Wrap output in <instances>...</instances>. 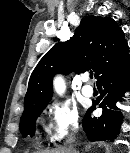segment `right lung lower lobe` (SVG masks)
I'll return each instance as SVG.
<instances>
[{"label": "right lung lower lobe", "instance_id": "98d812e1", "mask_svg": "<svg viewBox=\"0 0 130 153\" xmlns=\"http://www.w3.org/2000/svg\"><path fill=\"white\" fill-rule=\"evenodd\" d=\"M100 96L88 109L83 119V129L91 141L112 140L119 134L122 113L116 106L126 91L130 90V55L97 79ZM99 106L103 109L99 118L90 113Z\"/></svg>", "mask_w": 130, "mask_h": 153}]
</instances>
